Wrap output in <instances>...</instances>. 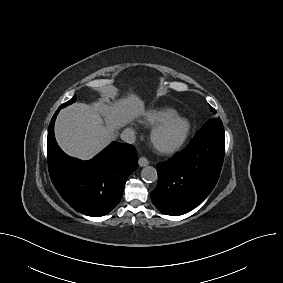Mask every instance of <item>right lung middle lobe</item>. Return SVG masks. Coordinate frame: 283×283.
I'll use <instances>...</instances> for the list:
<instances>
[{"instance_id":"1","label":"right lung middle lobe","mask_w":283,"mask_h":283,"mask_svg":"<svg viewBox=\"0 0 283 283\" xmlns=\"http://www.w3.org/2000/svg\"><path fill=\"white\" fill-rule=\"evenodd\" d=\"M75 100H76V96L72 97L68 102L62 104V105L60 106V108H64V107H66L67 105L72 104L73 102H75Z\"/></svg>"}]
</instances>
